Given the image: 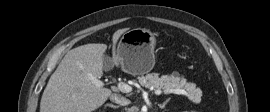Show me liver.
Returning a JSON list of instances; mask_svg holds the SVG:
<instances>
[{
  "instance_id": "1",
  "label": "liver",
  "mask_w": 270,
  "mask_h": 112,
  "mask_svg": "<svg viewBox=\"0 0 270 112\" xmlns=\"http://www.w3.org/2000/svg\"><path fill=\"white\" fill-rule=\"evenodd\" d=\"M128 28L112 36L113 63L119 66L115 45ZM106 44H86L64 56L51 75L40 102V112H92L102 106L111 90L97 87L93 80L103 75V55Z\"/></svg>"
}]
</instances>
